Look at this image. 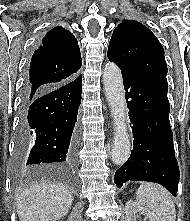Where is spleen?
Returning <instances> with one entry per match:
<instances>
[{"instance_id": "3e777b00", "label": "spleen", "mask_w": 190, "mask_h": 221, "mask_svg": "<svg viewBox=\"0 0 190 221\" xmlns=\"http://www.w3.org/2000/svg\"><path fill=\"white\" fill-rule=\"evenodd\" d=\"M139 205L156 213L160 221H175L176 210L170 193L160 185L144 183L137 192Z\"/></svg>"}]
</instances>
